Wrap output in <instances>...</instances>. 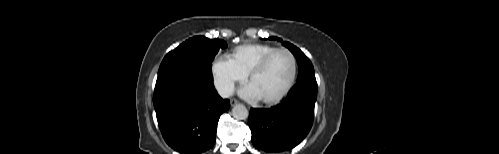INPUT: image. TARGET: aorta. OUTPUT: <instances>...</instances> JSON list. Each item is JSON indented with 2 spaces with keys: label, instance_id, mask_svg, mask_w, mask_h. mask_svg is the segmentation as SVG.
<instances>
[{
  "label": "aorta",
  "instance_id": "762f6f07",
  "mask_svg": "<svg viewBox=\"0 0 499 154\" xmlns=\"http://www.w3.org/2000/svg\"><path fill=\"white\" fill-rule=\"evenodd\" d=\"M232 116L238 120H245L248 118L249 112L243 104H238L233 107Z\"/></svg>",
  "mask_w": 499,
  "mask_h": 154
}]
</instances>
